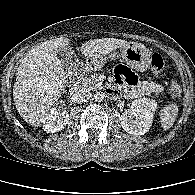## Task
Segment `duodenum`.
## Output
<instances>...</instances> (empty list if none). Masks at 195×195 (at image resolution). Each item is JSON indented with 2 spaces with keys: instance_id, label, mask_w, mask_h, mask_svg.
Wrapping results in <instances>:
<instances>
[{
  "instance_id": "1",
  "label": "duodenum",
  "mask_w": 195,
  "mask_h": 195,
  "mask_svg": "<svg viewBox=\"0 0 195 195\" xmlns=\"http://www.w3.org/2000/svg\"><path fill=\"white\" fill-rule=\"evenodd\" d=\"M94 69V66L92 64H88L86 66L87 71H91ZM70 90L73 94H77L81 91V83L79 81L73 82L70 86ZM108 92H110V89H108Z\"/></svg>"
}]
</instances>
